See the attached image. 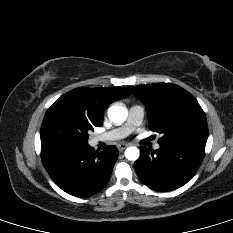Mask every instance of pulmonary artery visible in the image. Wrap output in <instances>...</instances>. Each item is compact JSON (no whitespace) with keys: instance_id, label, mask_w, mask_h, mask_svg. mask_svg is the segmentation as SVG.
Returning <instances> with one entry per match:
<instances>
[{"instance_id":"1","label":"pulmonary artery","mask_w":233,"mask_h":233,"mask_svg":"<svg viewBox=\"0 0 233 233\" xmlns=\"http://www.w3.org/2000/svg\"><path fill=\"white\" fill-rule=\"evenodd\" d=\"M144 117V108L140 105H133L129 108L128 118L125 124L121 127L110 130L103 134L97 135L94 138L95 142L100 141H115L128 136L137 126L142 123ZM160 145L156 143L155 149H159Z\"/></svg>"}]
</instances>
